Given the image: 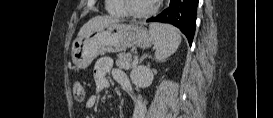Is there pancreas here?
<instances>
[{"mask_svg":"<svg viewBox=\"0 0 273 118\" xmlns=\"http://www.w3.org/2000/svg\"><path fill=\"white\" fill-rule=\"evenodd\" d=\"M116 65L124 70H129L134 65L131 63V54L119 53L117 55Z\"/></svg>","mask_w":273,"mask_h":118,"instance_id":"1","label":"pancreas"}]
</instances>
